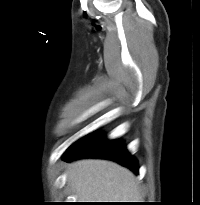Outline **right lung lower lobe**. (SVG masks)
<instances>
[{"instance_id": "1", "label": "right lung lower lobe", "mask_w": 200, "mask_h": 205, "mask_svg": "<svg viewBox=\"0 0 200 205\" xmlns=\"http://www.w3.org/2000/svg\"><path fill=\"white\" fill-rule=\"evenodd\" d=\"M104 158L118 162L138 173L137 161L127 152L122 141H108L102 134H88L72 144L64 153L65 161L78 158Z\"/></svg>"}]
</instances>
